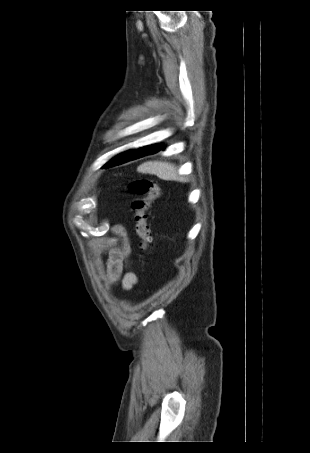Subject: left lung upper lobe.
<instances>
[{"label":"left lung upper lobe","mask_w":310,"mask_h":453,"mask_svg":"<svg viewBox=\"0 0 310 453\" xmlns=\"http://www.w3.org/2000/svg\"><path fill=\"white\" fill-rule=\"evenodd\" d=\"M140 149L141 148L135 149V150H129V151H126V152L116 156L115 158L111 159L108 163H106L103 166V168H109V167L119 165V164L132 160L133 156L135 154H137Z\"/></svg>","instance_id":"obj_1"}]
</instances>
